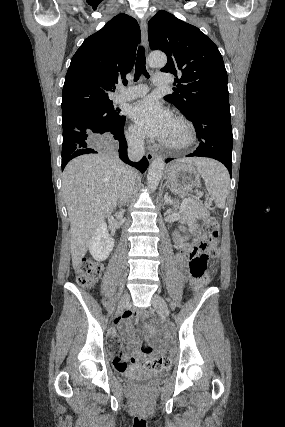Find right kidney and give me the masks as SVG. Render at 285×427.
Returning <instances> with one entry per match:
<instances>
[{
  "instance_id": "1",
  "label": "right kidney",
  "mask_w": 285,
  "mask_h": 427,
  "mask_svg": "<svg viewBox=\"0 0 285 427\" xmlns=\"http://www.w3.org/2000/svg\"><path fill=\"white\" fill-rule=\"evenodd\" d=\"M121 217V214L118 218ZM114 247V239L109 235L107 224L102 221L98 224L89 243V251L97 261H104L108 258Z\"/></svg>"
}]
</instances>
